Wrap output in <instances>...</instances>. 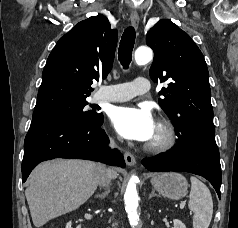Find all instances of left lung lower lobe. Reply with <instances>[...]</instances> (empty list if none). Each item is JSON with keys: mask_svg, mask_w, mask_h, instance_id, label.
<instances>
[{"mask_svg": "<svg viewBox=\"0 0 238 228\" xmlns=\"http://www.w3.org/2000/svg\"><path fill=\"white\" fill-rule=\"evenodd\" d=\"M142 163L154 172L185 171L203 176L221 197V165L214 135L196 138L188 145L177 140L171 151L143 159Z\"/></svg>", "mask_w": 238, "mask_h": 228, "instance_id": "left-lung-lower-lobe-1", "label": "left lung lower lobe"}]
</instances>
